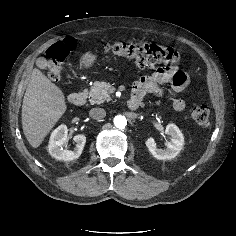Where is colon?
I'll return each instance as SVG.
<instances>
[{
	"instance_id": "colon-1",
	"label": "colon",
	"mask_w": 236,
	"mask_h": 236,
	"mask_svg": "<svg viewBox=\"0 0 236 236\" xmlns=\"http://www.w3.org/2000/svg\"><path fill=\"white\" fill-rule=\"evenodd\" d=\"M75 47L76 42L73 39H66L47 50L48 76L51 80H60L65 59ZM103 49L116 57L134 61L139 67H151L156 64L174 66L181 62V57L175 49L155 43L105 42ZM191 115L196 124L201 127H208L211 123V113L207 106L194 107Z\"/></svg>"
}]
</instances>
